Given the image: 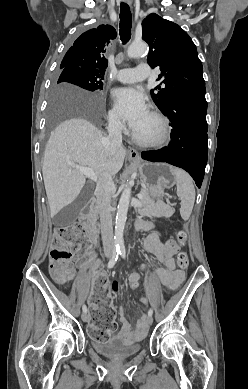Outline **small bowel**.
<instances>
[{"mask_svg": "<svg viewBox=\"0 0 248 389\" xmlns=\"http://www.w3.org/2000/svg\"><path fill=\"white\" fill-rule=\"evenodd\" d=\"M141 228L149 231V235L144 240L143 246L146 252L153 254L162 264L163 267L154 271L160 282L168 289L174 290L179 287L184 280V273L175 269V263L173 256L179 250L180 245L175 241H167L162 243L159 238L158 232L155 230L154 225L150 223L142 224ZM146 269V265H142V270ZM133 277H141L140 273H131L128 277V283ZM114 282L118 281L117 277L113 278ZM113 294L118 292V285L113 284L110 287ZM111 298V296H110ZM141 304L146 305L148 300L140 299ZM119 321L122 325L118 334H114L113 331L107 333L113 337H119L130 341H139L147 333V317L146 314H142L138 319L135 327L132 326L128 319L124 308L120 309Z\"/></svg>", "mask_w": 248, "mask_h": 389, "instance_id": "c3829d8e", "label": "small bowel"}]
</instances>
